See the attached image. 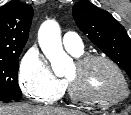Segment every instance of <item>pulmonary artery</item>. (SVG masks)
Instances as JSON below:
<instances>
[{"instance_id": "1", "label": "pulmonary artery", "mask_w": 131, "mask_h": 115, "mask_svg": "<svg viewBox=\"0 0 131 115\" xmlns=\"http://www.w3.org/2000/svg\"><path fill=\"white\" fill-rule=\"evenodd\" d=\"M63 45L67 51L73 54L83 52V43L79 35L72 32H67L63 36Z\"/></svg>"}]
</instances>
